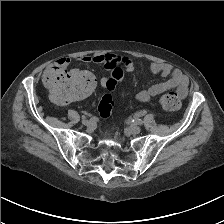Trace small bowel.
<instances>
[{
	"label": "small bowel",
	"instance_id": "obj_1",
	"mask_svg": "<svg viewBox=\"0 0 224 224\" xmlns=\"http://www.w3.org/2000/svg\"><path fill=\"white\" fill-rule=\"evenodd\" d=\"M78 60L83 63H97L106 69L122 67L127 72H133L135 70V63L131 58L113 53H105L94 56L85 55L80 57ZM69 63V58L64 57L58 59L55 67L46 69L45 76L53 72L56 68L66 67ZM150 70L155 74H160L162 77H166L167 79L137 93L136 98L139 101L148 102L153 97H156L157 95L170 89H176L180 98L187 96L189 81L180 70L175 69L168 64L156 62L150 65Z\"/></svg>",
	"mask_w": 224,
	"mask_h": 224
}]
</instances>
